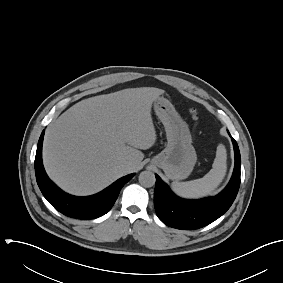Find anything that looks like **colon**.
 <instances>
[{
  "instance_id": "colon-1",
  "label": "colon",
  "mask_w": 283,
  "mask_h": 283,
  "mask_svg": "<svg viewBox=\"0 0 283 283\" xmlns=\"http://www.w3.org/2000/svg\"><path fill=\"white\" fill-rule=\"evenodd\" d=\"M191 114H192V116H193L194 119H197V118H198V115H197L196 110H191Z\"/></svg>"
}]
</instances>
